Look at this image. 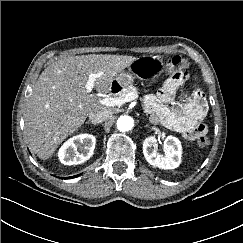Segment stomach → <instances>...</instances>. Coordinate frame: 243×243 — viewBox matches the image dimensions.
I'll return each mask as SVG.
<instances>
[{"mask_svg": "<svg viewBox=\"0 0 243 243\" xmlns=\"http://www.w3.org/2000/svg\"><path fill=\"white\" fill-rule=\"evenodd\" d=\"M162 59L160 56H143L135 58L128 65V72H121L116 81L121 87L133 83L135 78L149 80L156 78L161 72Z\"/></svg>", "mask_w": 243, "mask_h": 243, "instance_id": "1", "label": "stomach"}]
</instances>
